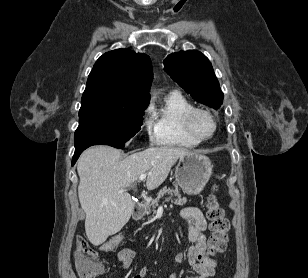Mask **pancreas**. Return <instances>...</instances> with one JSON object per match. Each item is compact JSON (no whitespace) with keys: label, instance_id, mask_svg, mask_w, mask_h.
Instances as JSON below:
<instances>
[{"label":"pancreas","instance_id":"obj_1","mask_svg":"<svg viewBox=\"0 0 308 278\" xmlns=\"http://www.w3.org/2000/svg\"><path fill=\"white\" fill-rule=\"evenodd\" d=\"M166 194H168L166 201H170L171 197L175 196L176 197V199L174 200L175 204L180 205L185 202V199L181 197L180 191L178 190L177 186H175V189L164 187L159 191L155 199H152L151 201L144 203V207L147 208L148 213H150L151 211L154 213L156 212L155 208L158 206L159 199Z\"/></svg>","mask_w":308,"mask_h":278}]
</instances>
